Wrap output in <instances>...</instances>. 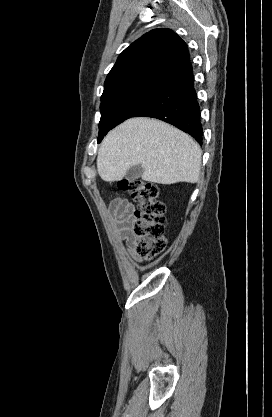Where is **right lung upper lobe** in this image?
I'll return each mask as SVG.
<instances>
[{
	"label": "right lung upper lobe",
	"instance_id": "cb5924a9",
	"mask_svg": "<svg viewBox=\"0 0 272 417\" xmlns=\"http://www.w3.org/2000/svg\"><path fill=\"white\" fill-rule=\"evenodd\" d=\"M189 64L187 45L176 33L152 30L119 55L105 80L101 99L128 88L162 87Z\"/></svg>",
	"mask_w": 272,
	"mask_h": 417
}]
</instances>
